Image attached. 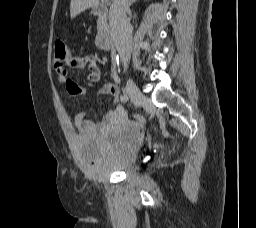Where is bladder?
<instances>
[{
  "mask_svg": "<svg viewBox=\"0 0 256 228\" xmlns=\"http://www.w3.org/2000/svg\"><path fill=\"white\" fill-rule=\"evenodd\" d=\"M143 141L139 128L127 125L102 136L82 133L75 140V149L83 162L91 163L88 172L100 179L114 172L131 171Z\"/></svg>",
  "mask_w": 256,
  "mask_h": 228,
  "instance_id": "obj_1",
  "label": "bladder"
}]
</instances>
